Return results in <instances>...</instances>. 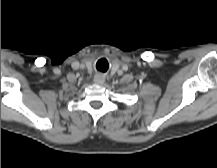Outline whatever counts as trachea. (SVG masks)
<instances>
[{
	"instance_id": "1",
	"label": "trachea",
	"mask_w": 217,
	"mask_h": 168,
	"mask_svg": "<svg viewBox=\"0 0 217 168\" xmlns=\"http://www.w3.org/2000/svg\"><path fill=\"white\" fill-rule=\"evenodd\" d=\"M96 68L98 71L101 72H106L108 69V62L105 59H100L97 64H96Z\"/></svg>"
}]
</instances>
